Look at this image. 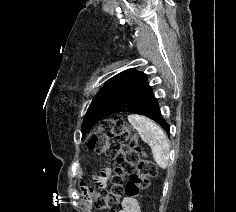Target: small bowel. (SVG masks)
<instances>
[{"label": "small bowel", "instance_id": "1", "mask_svg": "<svg viewBox=\"0 0 236 212\" xmlns=\"http://www.w3.org/2000/svg\"><path fill=\"white\" fill-rule=\"evenodd\" d=\"M119 212H140L138 202L133 198H125Z\"/></svg>", "mask_w": 236, "mask_h": 212}]
</instances>
